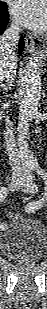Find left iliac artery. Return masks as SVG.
<instances>
[{"label": "left iliac artery", "instance_id": "obj_1", "mask_svg": "<svg viewBox=\"0 0 47 309\" xmlns=\"http://www.w3.org/2000/svg\"><path fill=\"white\" fill-rule=\"evenodd\" d=\"M30 166H31V169L36 170L38 172V174H40L44 179H46V177H47L46 173L42 169H40L39 164L37 162H35V161L32 162V164ZM37 188L38 187L36 186V191L38 190ZM43 202H44V198L41 199V200H38L36 202H33L30 205H28L27 210L31 211V212L36 211L42 206Z\"/></svg>", "mask_w": 47, "mask_h": 309}]
</instances>
